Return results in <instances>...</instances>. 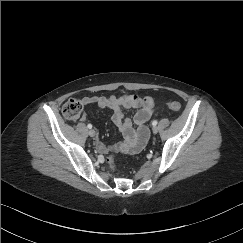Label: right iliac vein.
<instances>
[{
	"mask_svg": "<svg viewBox=\"0 0 243 243\" xmlns=\"http://www.w3.org/2000/svg\"><path fill=\"white\" fill-rule=\"evenodd\" d=\"M88 134H89V136L94 137L96 132L94 129H91V130H89Z\"/></svg>",
	"mask_w": 243,
	"mask_h": 243,
	"instance_id": "1",
	"label": "right iliac vein"
}]
</instances>
